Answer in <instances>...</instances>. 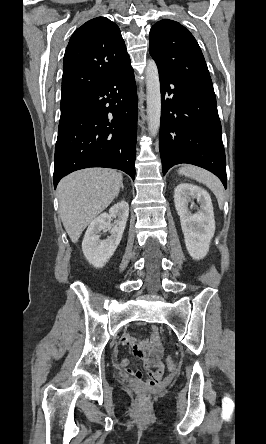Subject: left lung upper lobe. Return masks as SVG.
I'll list each match as a JSON object with an SVG mask.
<instances>
[{"label": "left lung upper lobe", "instance_id": "5c2ea615", "mask_svg": "<svg viewBox=\"0 0 266 444\" xmlns=\"http://www.w3.org/2000/svg\"><path fill=\"white\" fill-rule=\"evenodd\" d=\"M149 41V52L159 68L181 79L211 81L197 41L180 23L169 19L157 22Z\"/></svg>", "mask_w": 266, "mask_h": 444}]
</instances>
